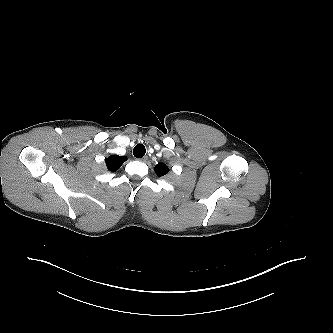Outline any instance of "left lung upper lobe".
<instances>
[{
  "label": "left lung upper lobe",
  "instance_id": "5c2ea615",
  "mask_svg": "<svg viewBox=\"0 0 333 333\" xmlns=\"http://www.w3.org/2000/svg\"><path fill=\"white\" fill-rule=\"evenodd\" d=\"M155 172L157 173V175L159 177H162L164 175H166L168 172H169V168L166 164L164 163H158L156 166H155Z\"/></svg>",
  "mask_w": 333,
  "mask_h": 333
}]
</instances>
